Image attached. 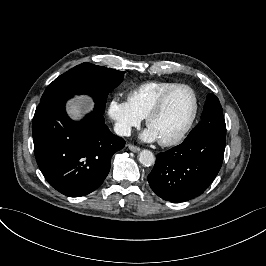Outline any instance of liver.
<instances>
[{"label": "liver", "mask_w": 266, "mask_h": 266, "mask_svg": "<svg viewBox=\"0 0 266 266\" xmlns=\"http://www.w3.org/2000/svg\"><path fill=\"white\" fill-rule=\"evenodd\" d=\"M94 103L88 96H77L68 101L67 112L73 120H78L93 109Z\"/></svg>", "instance_id": "obj_1"}]
</instances>
